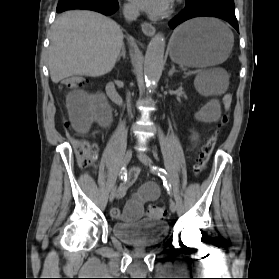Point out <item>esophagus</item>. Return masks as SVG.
I'll use <instances>...</instances> for the list:
<instances>
[{"label": "esophagus", "instance_id": "esophagus-1", "mask_svg": "<svg viewBox=\"0 0 279 279\" xmlns=\"http://www.w3.org/2000/svg\"><path fill=\"white\" fill-rule=\"evenodd\" d=\"M141 29L146 36H153L156 31L154 26L148 22H143L141 24Z\"/></svg>", "mask_w": 279, "mask_h": 279}]
</instances>
